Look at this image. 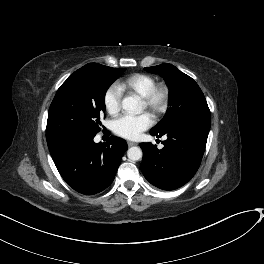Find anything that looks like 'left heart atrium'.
<instances>
[{
	"label": "left heart atrium",
	"instance_id": "1",
	"mask_svg": "<svg viewBox=\"0 0 264 264\" xmlns=\"http://www.w3.org/2000/svg\"><path fill=\"white\" fill-rule=\"evenodd\" d=\"M152 124L153 120L147 113L136 116L122 115L113 122V131L123 138L136 139Z\"/></svg>",
	"mask_w": 264,
	"mask_h": 264
}]
</instances>
